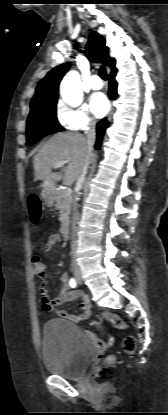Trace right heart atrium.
<instances>
[{
  "instance_id": "1",
  "label": "right heart atrium",
  "mask_w": 168,
  "mask_h": 415,
  "mask_svg": "<svg viewBox=\"0 0 168 415\" xmlns=\"http://www.w3.org/2000/svg\"><path fill=\"white\" fill-rule=\"evenodd\" d=\"M56 120L63 129L74 132L91 131L96 124L86 105L70 106L64 102L57 105Z\"/></svg>"
}]
</instances>
